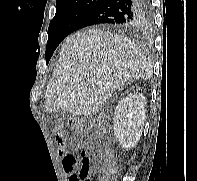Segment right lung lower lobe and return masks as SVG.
I'll use <instances>...</instances> for the list:
<instances>
[{
    "label": "right lung lower lobe",
    "instance_id": "right-lung-lower-lobe-1",
    "mask_svg": "<svg viewBox=\"0 0 197 181\" xmlns=\"http://www.w3.org/2000/svg\"><path fill=\"white\" fill-rule=\"evenodd\" d=\"M148 7L149 0H102L80 18L73 32L98 24L139 27L146 21Z\"/></svg>",
    "mask_w": 197,
    "mask_h": 181
}]
</instances>
